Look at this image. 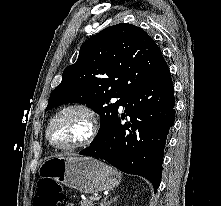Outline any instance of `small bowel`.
I'll use <instances>...</instances> for the list:
<instances>
[{"label":"small bowel","instance_id":"obj_1","mask_svg":"<svg viewBox=\"0 0 221 206\" xmlns=\"http://www.w3.org/2000/svg\"><path fill=\"white\" fill-rule=\"evenodd\" d=\"M67 206H74L72 203H67Z\"/></svg>","mask_w":221,"mask_h":206}]
</instances>
